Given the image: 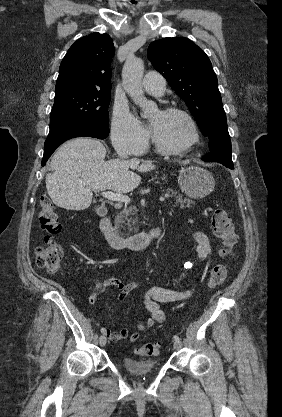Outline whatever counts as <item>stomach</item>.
Wrapping results in <instances>:
<instances>
[{"instance_id":"0dacf381","label":"stomach","mask_w":282,"mask_h":417,"mask_svg":"<svg viewBox=\"0 0 282 417\" xmlns=\"http://www.w3.org/2000/svg\"><path fill=\"white\" fill-rule=\"evenodd\" d=\"M178 182L181 190L191 198H204L215 188L213 174L200 166H186L179 170Z\"/></svg>"}]
</instances>
